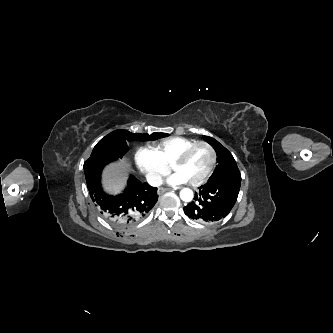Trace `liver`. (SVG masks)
<instances>
[{"mask_svg":"<svg viewBox=\"0 0 333 333\" xmlns=\"http://www.w3.org/2000/svg\"><path fill=\"white\" fill-rule=\"evenodd\" d=\"M130 170L131 166L126 159H123L121 163L108 164L102 174L104 189L110 194L120 193L126 185Z\"/></svg>","mask_w":333,"mask_h":333,"instance_id":"liver-1","label":"liver"}]
</instances>
